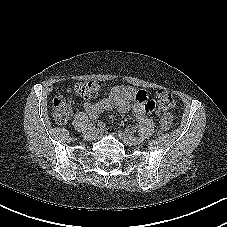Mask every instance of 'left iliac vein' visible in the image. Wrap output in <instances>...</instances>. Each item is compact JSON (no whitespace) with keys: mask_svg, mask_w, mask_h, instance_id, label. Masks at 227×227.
<instances>
[{"mask_svg":"<svg viewBox=\"0 0 227 227\" xmlns=\"http://www.w3.org/2000/svg\"><path fill=\"white\" fill-rule=\"evenodd\" d=\"M119 137L128 146H137L142 143V141H139V138L134 137L127 132H120Z\"/></svg>","mask_w":227,"mask_h":227,"instance_id":"1","label":"left iliac vein"}]
</instances>
